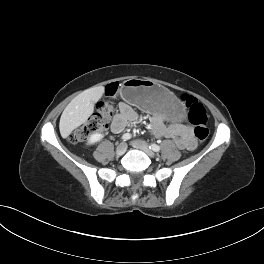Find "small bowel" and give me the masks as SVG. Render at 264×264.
Listing matches in <instances>:
<instances>
[{"instance_id": "c3829d8e", "label": "small bowel", "mask_w": 264, "mask_h": 264, "mask_svg": "<svg viewBox=\"0 0 264 264\" xmlns=\"http://www.w3.org/2000/svg\"><path fill=\"white\" fill-rule=\"evenodd\" d=\"M139 120V114L128 104L119 103V113L112 122L114 132L122 131L126 125L135 124ZM152 135L157 138H170L181 149L193 150L196 141L190 125L184 123L167 124L160 114H155L151 118Z\"/></svg>"}]
</instances>
